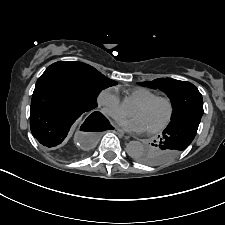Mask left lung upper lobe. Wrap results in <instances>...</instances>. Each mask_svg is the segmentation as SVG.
Masks as SVG:
<instances>
[{
  "label": "left lung upper lobe",
  "mask_w": 225,
  "mask_h": 225,
  "mask_svg": "<svg viewBox=\"0 0 225 225\" xmlns=\"http://www.w3.org/2000/svg\"><path fill=\"white\" fill-rule=\"evenodd\" d=\"M139 84L151 88H158L165 92L170 98L173 112L169 125L190 116L203 115L202 95L198 89L189 82L171 78H159ZM154 142L155 144L145 149L135 159L141 163L151 165V154L161 152L163 149L158 147L156 141Z\"/></svg>",
  "instance_id": "obj_1"
}]
</instances>
